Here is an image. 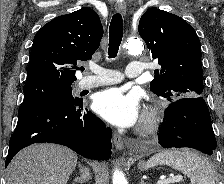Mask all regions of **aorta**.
Instances as JSON below:
<instances>
[{"label": "aorta", "instance_id": "obj_1", "mask_svg": "<svg viewBox=\"0 0 224 184\" xmlns=\"http://www.w3.org/2000/svg\"><path fill=\"white\" fill-rule=\"evenodd\" d=\"M124 46L129 53L134 54L140 53L144 49L143 42L138 38L128 39L124 44ZM113 184H128L124 174L121 171L119 170L114 171Z\"/></svg>", "mask_w": 224, "mask_h": 184}]
</instances>
